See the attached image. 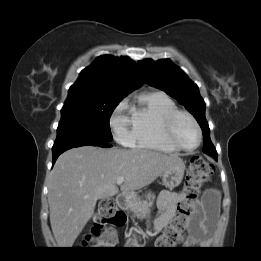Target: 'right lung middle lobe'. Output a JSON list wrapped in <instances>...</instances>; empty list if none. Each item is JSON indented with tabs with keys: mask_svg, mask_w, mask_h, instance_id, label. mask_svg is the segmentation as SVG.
<instances>
[{
	"mask_svg": "<svg viewBox=\"0 0 261 261\" xmlns=\"http://www.w3.org/2000/svg\"><path fill=\"white\" fill-rule=\"evenodd\" d=\"M120 96L67 98L54 144L79 139L112 141L109 119Z\"/></svg>",
	"mask_w": 261,
	"mask_h": 261,
	"instance_id": "1",
	"label": "right lung middle lobe"
}]
</instances>
